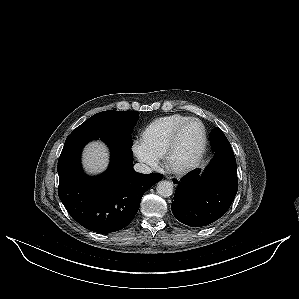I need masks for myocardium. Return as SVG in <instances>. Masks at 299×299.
Segmentation results:
<instances>
[{"label": "myocardium", "instance_id": "f54148a6", "mask_svg": "<svg viewBox=\"0 0 299 299\" xmlns=\"http://www.w3.org/2000/svg\"><path fill=\"white\" fill-rule=\"evenodd\" d=\"M192 122L199 123V125L201 126V129H202V142L200 145V149H199L197 155L188 163H186L182 166H179V167L173 166L170 163V156L176 146L178 136H179L180 132L183 130V128ZM206 146H207V132H206V128H205L204 124L198 118H194V117L188 118L184 122H182L175 129L173 134L171 135L169 142L165 148L164 154H163L164 165L168 170H170L171 172H173L175 174H185V173L191 171L192 169H194L196 166H198V164L201 162V160L205 154Z\"/></svg>", "mask_w": 299, "mask_h": 299}]
</instances>
